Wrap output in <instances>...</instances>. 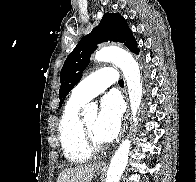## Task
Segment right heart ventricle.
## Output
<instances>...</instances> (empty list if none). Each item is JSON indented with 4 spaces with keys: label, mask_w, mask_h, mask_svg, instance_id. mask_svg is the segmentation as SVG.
<instances>
[{
    "label": "right heart ventricle",
    "mask_w": 196,
    "mask_h": 182,
    "mask_svg": "<svg viewBox=\"0 0 196 182\" xmlns=\"http://www.w3.org/2000/svg\"><path fill=\"white\" fill-rule=\"evenodd\" d=\"M84 103L71 97L65 105L58 128L64 156L74 164L87 161L91 155V151L84 145L81 135L79 112Z\"/></svg>",
    "instance_id": "right-heart-ventricle-1"
}]
</instances>
